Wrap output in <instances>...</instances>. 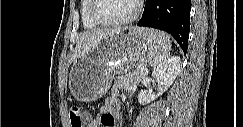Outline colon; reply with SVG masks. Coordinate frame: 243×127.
<instances>
[{"label": "colon", "instance_id": "obj_1", "mask_svg": "<svg viewBox=\"0 0 243 127\" xmlns=\"http://www.w3.org/2000/svg\"><path fill=\"white\" fill-rule=\"evenodd\" d=\"M69 118L72 127H84L86 123V117L82 109L78 106H73L69 109Z\"/></svg>", "mask_w": 243, "mask_h": 127}]
</instances>
